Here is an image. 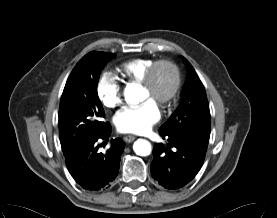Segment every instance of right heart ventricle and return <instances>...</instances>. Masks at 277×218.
I'll return each mask as SVG.
<instances>
[{"mask_svg":"<svg viewBox=\"0 0 277 218\" xmlns=\"http://www.w3.org/2000/svg\"><path fill=\"white\" fill-rule=\"evenodd\" d=\"M149 64L150 60L148 59H135L124 65V71L133 79L142 80Z\"/></svg>","mask_w":277,"mask_h":218,"instance_id":"obj_1","label":"right heart ventricle"}]
</instances>
